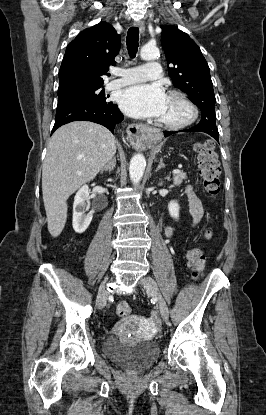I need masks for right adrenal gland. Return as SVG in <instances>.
I'll return each mask as SVG.
<instances>
[{
    "label": "right adrenal gland",
    "instance_id": "1",
    "mask_svg": "<svg viewBox=\"0 0 266 415\" xmlns=\"http://www.w3.org/2000/svg\"><path fill=\"white\" fill-rule=\"evenodd\" d=\"M116 166V158L113 157L108 163L107 165H105L102 169H101V173H103L104 171H108L109 173H111L114 168Z\"/></svg>",
    "mask_w": 266,
    "mask_h": 415
}]
</instances>
